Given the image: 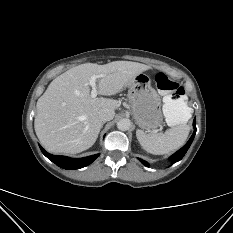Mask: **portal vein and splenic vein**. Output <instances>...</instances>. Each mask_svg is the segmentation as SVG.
<instances>
[{
  "label": "portal vein and splenic vein",
  "instance_id": "18ae733b",
  "mask_svg": "<svg viewBox=\"0 0 233 233\" xmlns=\"http://www.w3.org/2000/svg\"><path fill=\"white\" fill-rule=\"evenodd\" d=\"M101 77H103V76L102 75H93V76H91V78L89 80V84L92 87V91H91L92 98H96V96H97L98 91H97V87H96V80L98 78H101Z\"/></svg>",
  "mask_w": 233,
  "mask_h": 233
}]
</instances>
